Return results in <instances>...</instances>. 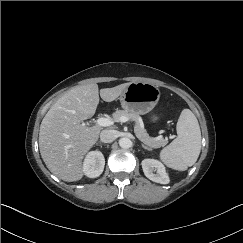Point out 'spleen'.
Masks as SVG:
<instances>
[{"instance_id":"obj_1","label":"spleen","mask_w":243,"mask_h":243,"mask_svg":"<svg viewBox=\"0 0 243 243\" xmlns=\"http://www.w3.org/2000/svg\"><path fill=\"white\" fill-rule=\"evenodd\" d=\"M176 130L177 138L161 150L160 159L169 168L185 171L195 164L201 150V131L191 110L181 112Z\"/></svg>"}]
</instances>
